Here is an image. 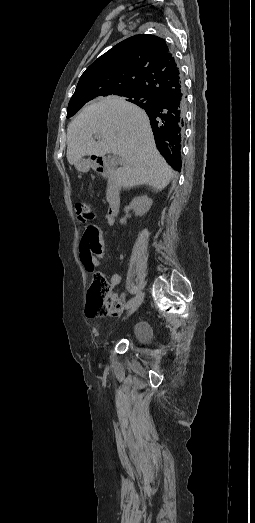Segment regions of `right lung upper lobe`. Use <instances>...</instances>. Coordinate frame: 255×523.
Wrapping results in <instances>:
<instances>
[{
    "label": "right lung upper lobe",
    "mask_w": 255,
    "mask_h": 523,
    "mask_svg": "<svg viewBox=\"0 0 255 523\" xmlns=\"http://www.w3.org/2000/svg\"><path fill=\"white\" fill-rule=\"evenodd\" d=\"M130 91L148 95L146 100L134 103L147 113L154 139L158 132V123L152 118L154 106L172 96L182 99V106L176 109L178 134L173 138V141L179 143V149L168 153L167 144L155 139L158 150L168 164L179 170L182 165L180 150L186 104L184 85L179 67L162 38L147 34L136 35L115 45L82 74L68 106L85 105L89 101Z\"/></svg>",
    "instance_id": "cb5924a9"
}]
</instances>
